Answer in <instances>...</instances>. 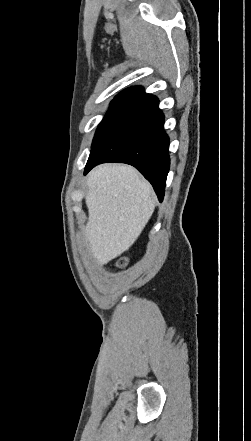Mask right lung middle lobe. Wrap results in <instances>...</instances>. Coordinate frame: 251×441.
<instances>
[{
  "mask_svg": "<svg viewBox=\"0 0 251 441\" xmlns=\"http://www.w3.org/2000/svg\"><path fill=\"white\" fill-rule=\"evenodd\" d=\"M130 102L123 101H112L110 104L109 111L105 115L104 119L100 123L95 133L92 149L100 137L105 133V131L111 126V124L130 106Z\"/></svg>",
  "mask_w": 251,
  "mask_h": 441,
  "instance_id": "dd1d6c3e",
  "label": "right lung middle lobe"
}]
</instances>
